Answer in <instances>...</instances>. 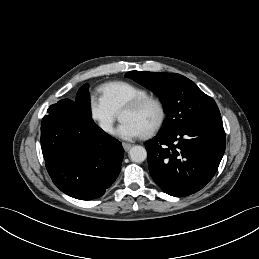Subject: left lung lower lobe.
<instances>
[{"label":"left lung lower lobe","instance_id":"1","mask_svg":"<svg viewBox=\"0 0 259 259\" xmlns=\"http://www.w3.org/2000/svg\"><path fill=\"white\" fill-rule=\"evenodd\" d=\"M145 146L149 171L156 184L171 196L193 194L212 179L223 157L222 119L174 133H159Z\"/></svg>","mask_w":259,"mask_h":259}]
</instances>
